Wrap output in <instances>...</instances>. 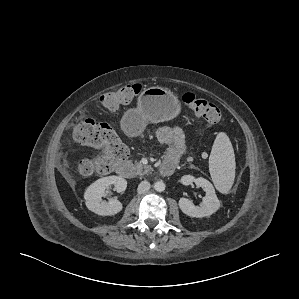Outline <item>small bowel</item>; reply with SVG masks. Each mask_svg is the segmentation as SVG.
Instances as JSON below:
<instances>
[{"instance_id":"1","label":"small bowel","mask_w":299,"mask_h":299,"mask_svg":"<svg viewBox=\"0 0 299 299\" xmlns=\"http://www.w3.org/2000/svg\"><path fill=\"white\" fill-rule=\"evenodd\" d=\"M157 139L160 143L167 146L165 160L177 164L186 151L185 137L182 129L178 125L162 126L157 131Z\"/></svg>"}]
</instances>
